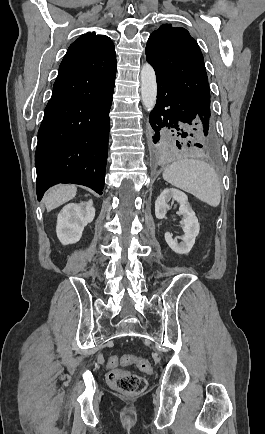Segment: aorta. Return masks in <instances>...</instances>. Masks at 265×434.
I'll return each instance as SVG.
<instances>
[{"instance_id":"obj_1","label":"aorta","mask_w":265,"mask_h":434,"mask_svg":"<svg viewBox=\"0 0 265 434\" xmlns=\"http://www.w3.org/2000/svg\"><path fill=\"white\" fill-rule=\"evenodd\" d=\"M141 98L147 112H152L157 100L156 74L150 64H144L141 74Z\"/></svg>"}]
</instances>
